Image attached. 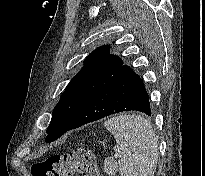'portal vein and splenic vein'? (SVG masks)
<instances>
[{
	"label": "portal vein and splenic vein",
	"instance_id": "obj_1",
	"mask_svg": "<svg viewBox=\"0 0 205 176\" xmlns=\"http://www.w3.org/2000/svg\"><path fill=\"white\" fill-rule=\"evenodd\" d=\"M119 155V151H116V156H118Z\"/></svg>",
	"mask_w": 205,
	"mask_h": 176
}]
</instances>
